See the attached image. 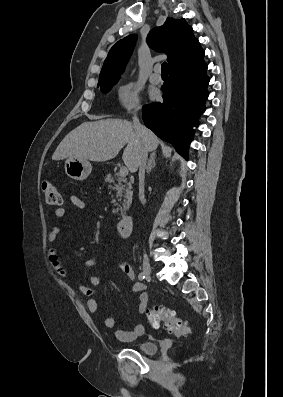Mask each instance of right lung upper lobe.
<instances>
[{"label": "right lung upper lobe", "instance_id": "right-lung-upper-lobe-1", "mask_svg": "<svg viewBox=\"0 0 283 397\" xmlns=\"http://www.w3.org/2000/svg\"><path fill=\"white\" fill-rule=\"evenodd\" d=\"M135 41L136 35H129L111 48L101 69L100 81L118 79L132 54ZM147 43L154 50L167 54L169 71L204 57L192 27L184 19L167 18L162 26L149 32Z\"/></svg>", "mask_w": 283, "mask_h": 397}]
</instances>
